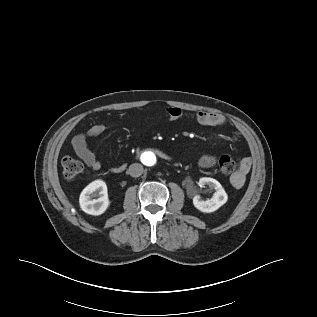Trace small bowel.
Segmentation results:
<instances>
[{
    "mask_svg": "<svg viewBox=\"0 0 317 317\" xmlns=\"http://www.w3.org/2000/svg\"><path fill=\"white\" fill-rule=\"evenodd\" d=\"M164 112L169 120H178L183 116V110L175 106L166 108ZM195 118L199 124L204 126L220 127L225 124V118L217 112L199 111L196 113ZM105 128L103 124H94L88 129L86 134H78L72 140V148L75 154L93 171H98L101 168V163L88 147L86 136H98L104 132ZM215 163L216 156L214 155L207 154L199 159V165L203 168L212 167ZM250 167L251 159L248 157L243 158L240 170L231 177V183L234 187L240 188L244 184ZM110 170L116 173L121 171V167H113Z\"/></svg>",
    "mask_w": 317,
    "mask_h": 317,
    "instance_id": "1",
    "label": "small bowel"
}]
</instances>
